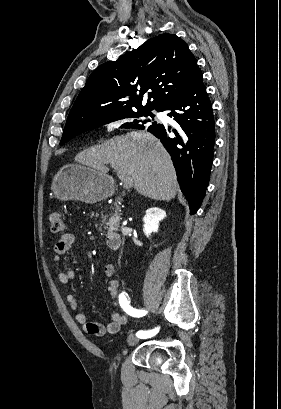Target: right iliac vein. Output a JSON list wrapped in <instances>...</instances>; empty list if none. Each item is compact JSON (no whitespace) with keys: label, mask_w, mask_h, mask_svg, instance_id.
<instances>
[{"label":"right iliac vein","mask_w":281,"mask_h":409,"mask_svg":"<svg viewBox=\"0 0 281 409\" xmlns=\"http://www.w3.org/2000/svg\"><path fill=\"white\" fill-rule=\"evenodd\" d=\"M139 338V337H138ZM137 337H135L134 335H130L129 337H128V340H127V342H128V345L129 346H134V345H136L138 342H139V339H138Z\"/></svg>","instance_id":"right-iliac-vein-1"}]
</instances>
